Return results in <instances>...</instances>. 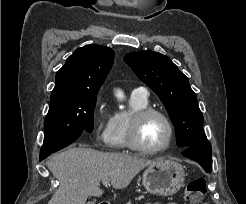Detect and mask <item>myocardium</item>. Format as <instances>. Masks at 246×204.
<instances>
[{
  "label": "myocardium",
  "mask_w": 246,
  "mask_h": 204,
  "mask_svg": "<svg viewBox=\"0 0 246 204\" xmlns=\"http://www.w3.org/2000/svg\"><path fill=\"white\" fill-rule=\"evenodd\" d=\"M153 115L161 117L167 124L169 130V135L166 143L163 146L155 149L145 147L140 141V131L142 125L147 118ZM174 137H175V128L173 122L171 121L169 116L161 110L152 107H147L145 109L136 111L135 113L132 114L130 118L129 129H128V145L131 149L135 151L148 155L164 152L167 149H169V147L171 146L174 140Z\"/></svg>",
  "instance_id": "1"
}]
</instances>
